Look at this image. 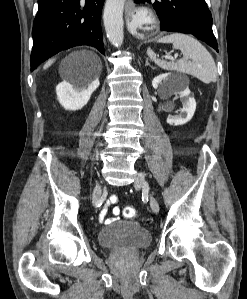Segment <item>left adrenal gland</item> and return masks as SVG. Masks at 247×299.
Wrapping results in <instances>:
<instances>
[{
    "instance_id": "1",
    "label": "left adrenal gland",
    "mask_w": 247,
    "mask_h": 299,
    "mask_svg": "<svg viewBox=\"0 0 247 299\" xmlns=\"http://www.w3.org/2000/svg\"><path fill=\"white\" fill-rule=\"evenodd\" d=\"M145 66H150L152 69H154V67H152V66L149 64L148 59H146Z\"/></svg>"
}]
</instances>
